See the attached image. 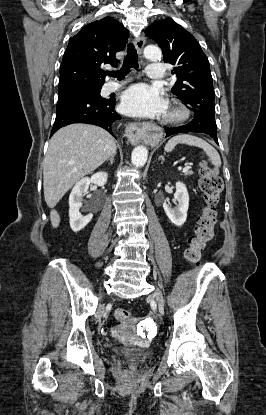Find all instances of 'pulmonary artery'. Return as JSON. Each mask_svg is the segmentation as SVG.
<instances>
[{
    "label": "pulmonary artery",
    "mask_w": 266,
    "mask_h": 415,
    "mask_svg": "<svg viewBox=\"0 0 266 415\" xmlns=\"http://www.w3.org/2000/svg\"><path fill=\"white\" fill-rule=\"evenodd\" d=\"M147 76L154 80H160L164 77V67L161 63H151L147 67ZM122 83L111 82L107 85L106 89L109 92L117 90Z\"/></svg>",
    "instance_id": "1"
}]
</instances>
